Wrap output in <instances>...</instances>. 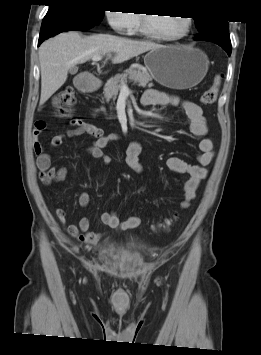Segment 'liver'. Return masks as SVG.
<instances>
[{
    "instance_id": "1",
    "label": "liver",
    "mask_w": 261,
    "mask_h": 355,
    "mask_svg": "<svg viewBox=\"0 0 261 355\" xmlns=\"http://www.w3.org/2000/svg\"><path fill=\"white\" fill-rule=\"evenodd\" d=\"M162 47L149 41H136L108 34L88 37L69 31L49 39L39 47L41 96L43 105L67 80L68 71L94 56L107 55L113 63H122L149 50Z\"/></svg>"
}]
</instances>
